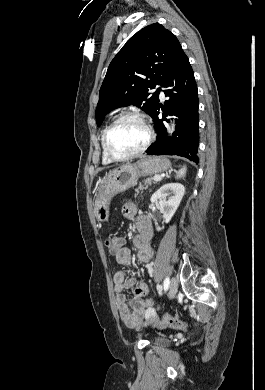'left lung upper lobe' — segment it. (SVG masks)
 I'll list each match as a JSON object with an SVG mask.
<instances>
[{
  "mask_svg": "<svg viewBox=\"0 0 265 390\" xmlns=\"http://www.w3.org/2000/svg\"><path fill=\"white\" fill-rule=\"evenodd\" d=\"M182 52L175 35L159 23L133 35L108 67L95 111L97 125L110 111L131 104L152 117L159 89H149L162 86Z\"/></svg>",
  "mask_w": 265,
  "mask_h": 390,
  "instance_id": "obj_1",
  "label": "left lung upper lobe"
}]
</instances>
